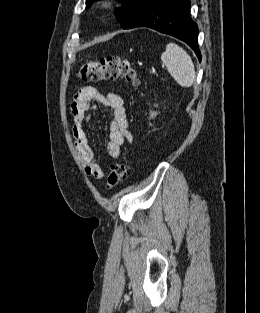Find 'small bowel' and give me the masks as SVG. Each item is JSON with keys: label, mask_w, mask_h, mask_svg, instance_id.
I'll return each instance as SVG.
<instances>
[{"label": "small bowel", "mask_w": 260, "mask_h": 313, "mask_svg": "<svg viewBox=\"0 0 260 313\" xmlns=\"http://www.w3.org/2000/svg\"><path fill=\"white\" fill-rule=\"evenodd\" d=\"M94 101L110 107L112 111L109 142L106 147V153L110 158L117 159L120 155L121 146L125 142H131L132 136L128 130L125 104L121 95L118 93L103 95L94 86L80 88L71 104L75 147L85 173L96 179H101L105 173L102 166L94 161V153L84 128V123L90 118L89 110L93 107Z\"/></svg>", "instance_id": "obj_1"}]
</instances>
